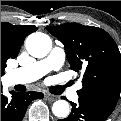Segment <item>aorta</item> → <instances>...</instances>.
<instances>
[{"label":"aorta","mask_w":121,"mask_h":121,"mask_svg":"<svg viewBox=\"0 0 121 121\" xmlns=\"http://www.w3.org/2000/svg\"><path fill=\"white\" fill-rule=\"evenodd\" d=\"M52 48L50 37L41 32L30 34L26 39V49L35 58L46 57ZM52 112L59 118H65L69 114V104L65 100H58L53 103Z\"/></svg>","instance_id":"aorta-1"}]
</instances>
